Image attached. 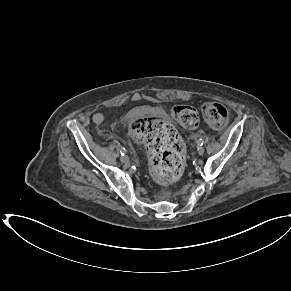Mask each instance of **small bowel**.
Masks as SVG:
<instances>
[{
	"mask_svg": "<svg viewBox=\"0 0 291 291\" xmlns=\"http://www.w3.org/2000/svg\"><path fill=\"white\" fill-rule=\"evenodd\" d=\"M93 121L96 124H100L104 121V116L101 113H96L93 115Z\"/></svg>",
	"mask_w": 291,
	"mask_h": 291,
	"instance_id": "1",
	"label": "small bowel"
}]
</instances>
